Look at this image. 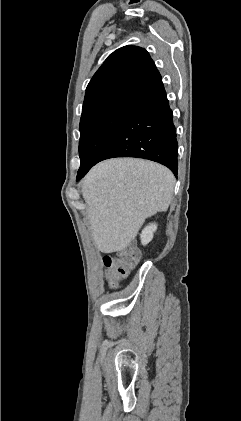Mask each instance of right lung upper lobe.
I'll return each mask as SVG.
<instances>
[{
  "mask_svg": "<svg viewBox=\"0 0 241 421\" xmlns=\"http://www.w3.org/2000/svg\"><path fill=\"white\" fill-rule=\"evenodd\" d=\"M160 77L145 49L136 46L119 48L109 55L89 82L82 116L118 102L132 101Z\"/></svg>",
  "mask_w": 241,
  "mask_h": 421,
  "instance_id": "cb5924a9",
  "label": "right lung upper lobe"
}]
</instances>
